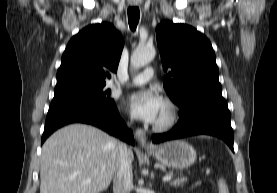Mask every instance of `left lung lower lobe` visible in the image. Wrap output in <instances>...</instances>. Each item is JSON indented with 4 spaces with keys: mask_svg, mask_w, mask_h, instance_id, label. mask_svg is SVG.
<instances>
[{
    "mask_svg": "<svg viewBox=\"0 0 277 193\" xmlns=\"http://www.w3.org/2000/svg\"><path fill=\"white\" fill-rule=\"evenodd\" d=\"M199 134L219 137L234 151L230 111L222 95L206 96L196 100L180 114L179 121L172 131L155 134L152 141L159 143Z\"/></svg>",
    "mask_w": 277,
    "mask_h": 193,
    "instance_id": "1",
    "label": "left lung lower lobe"
}]
</instances>
